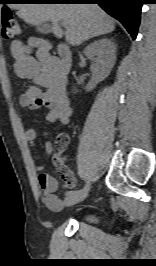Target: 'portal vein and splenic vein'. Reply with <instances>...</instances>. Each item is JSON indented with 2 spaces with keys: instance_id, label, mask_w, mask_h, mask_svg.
Instances as JSON below:
<instances>
[{
  "instance_id": "obj_1",
  "label": "portal vein and splenic vein",
  "mask_w": 156,
  "mask_h": 266,
  "mask_svg": "<svg viewBox=\"0 0 156 266\" xmlns=\"http://www.w3.org/2000/svg\"><path fill=\"white\" fill-rule=\"evenodd\" d=\"M61 24H62L63 27H66L65 23L61 22Z\"/></svg>"
}]
</instances>
